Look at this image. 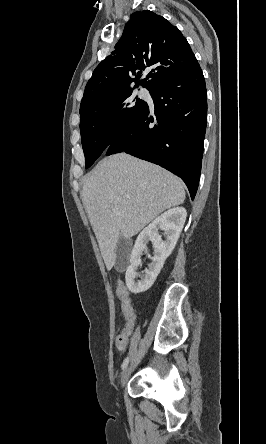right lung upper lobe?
Listing matches in <instances>:
<instances>
[{
    "label": "right lung upper lobe",
    "instance_id": "1",
    "mask_svg": "<svg viewBox=\"0 0 266 444\" xmlns=\"http://www.w3.org/2000/svg\"><path fill=\"white\" fill-rule=\"evenodd\" d=\"M198 61L176 26L149 10L131 15L111 55L93 71L80 107L115 91L131 89L146 67L152 70L135 87L148 90L190 72Z\"/></svg>",
    "mask_w": 266,
    "mask_h": 444
}]
</instances>
